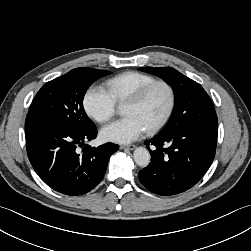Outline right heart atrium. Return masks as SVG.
Returning a JSON list of instances; mask_svg holds the SVG:
<instances>
[{
    "label": "right heart atrium",
    "instance_id": "obj_1",
    "mask_svg": "<svg viewBox=\"0 0 251 251\" xmlns=\"http://www.w3.org/2000/svg\"><path fill=\"white\" fill-rule=\"evenodd\" d=\"M83 108L94 121L103 124L109 121L117 110V103L108 90L100 85H91L83 96Z\"/></svg>",
    "mask_w": 251,
    "mask_h": 251
}]
</instances>
